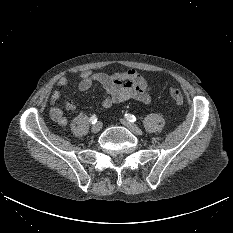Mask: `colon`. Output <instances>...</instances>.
<instances>
[{"mask_svg":"<svg viewBox=\"0 0 233 233\" xmlns=\"http://www.w3.org/2000/svg\"><path fill=\"white\" fill-rule=\"evenodd\" d=\"M169 94L177 105H182L184 103V96L180 90L172 88L169 90Z\"/></svg>","mask_w":233,"mask_h":233,"instance_id":"5ec220e1","label":"colon"}]
</instances>
